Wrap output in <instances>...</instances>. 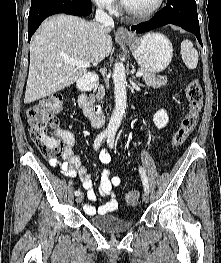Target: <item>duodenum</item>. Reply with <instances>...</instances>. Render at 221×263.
Instances as JSON below:
<instances>
[{
  "label": "duodenum",
  "instance_id": "410a0bca",
  "mask_svg": "<svg viewBox=\"0 0 221 263\" xmlns=\"http://www.w3.org/2000/svg\"><path fill=\"white\" fill-rule=\"evenodd\" d=\"M97 82V76L94 73H86L79 80V88L81 90L78 96L79 107L83 112L92 119L95 127H100L104 121L102 108L100 105L94 104L89 92L94 88Z\"/></svg>",
  "mask_w": 221,
  "mask_h": 263
}]
</instances>
